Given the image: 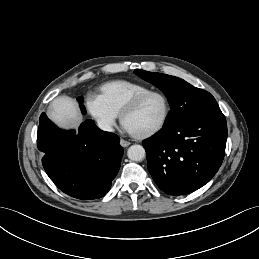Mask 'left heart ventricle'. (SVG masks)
Here are the masks:
<instances>
[{
    "label": "left heart ventricle",
    "instance_id": "1",
    "mask_svg": "<svg viewBox=\"0 0 259 259\" xmlns=\"http://www.w3.org/2000/svg\"><path fill=\"white\" fill-rule=\"evenodd\" d=\"M165 112L163 99L158 95L147 97L138 108L129 114L124 125L134 134H143L155 128L162 120Z\"/></svg>",
    "mask_w": 259,
    "mask_h": 259
}]
</instances>
